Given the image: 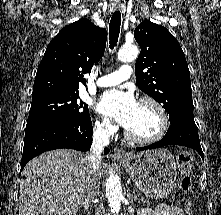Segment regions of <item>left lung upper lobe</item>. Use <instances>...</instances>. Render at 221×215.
<instances>
[{
    "label": "left lung upper lobe",
    "instance_id": "5c2ea615",
    "mask_svg": "<svg viewBox=\"0 0 221 215\" xmlns=\"http://www.w3.org/2000/svg\"><path fill=\"white\" fill-rule=\"evenodd\" d=\"M141 47L136 84L163 105L171 124L195 123L190 72L178 41L163 26L145 20L134 31Z\"/></svg>",
    "mask_w": 221,
    "mask_h": 215
}]
</instances>
